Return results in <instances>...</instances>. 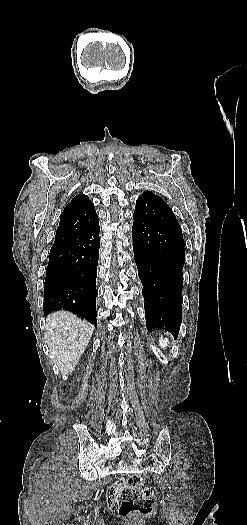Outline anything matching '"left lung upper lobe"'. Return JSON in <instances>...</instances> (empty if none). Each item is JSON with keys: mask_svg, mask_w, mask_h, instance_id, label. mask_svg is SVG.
Instances as JSON below:
<instances>
[{"mask_svg": "<svg viewBox=\"0 0 247 525\" xmlns=\"http://www.w3.org/2000/svg\"><path fill=\"white\" fill-rule=\"evenodd\" d=\"M133 216L159 222L182 233L171 208L161 197L151 191L143 192L137 199Z\"/></svg>", "mask_w": 247, "mask_h": 525, "instance_id": "5c2ea615", "label": "left lung upper lobe"}]
</instances>
